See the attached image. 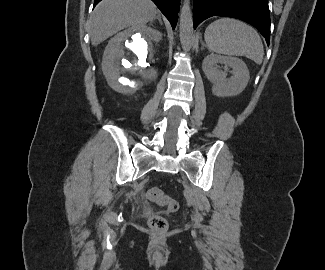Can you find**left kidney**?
I'll use <instances>...</instances> for the list:
<instances>
[{
	"instance_id": "1",
	"label": "left kidney",
	"mask_w": 325,
	"mask_h": 270,
	"mask_svg": "<svg viewBox=\"0 0 325 270\" xmlns=\"http://www.w3.org/2000/svg\"><path fill=\"white\" fill-rule=\"evenodd\" d=\"M218 64L232 68V76L226 78L220 72ZM206 77L213 83L212 93L218 97H230L240 94L247 86L250 75L246 64L239 58L210 54L202 63Z\"/></svg>"
}]
</instances>
